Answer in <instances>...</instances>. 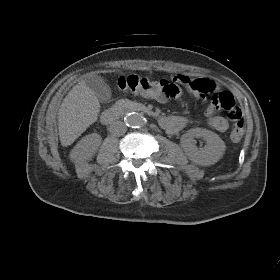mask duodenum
<instances>
[{
	"label": "duodenum",
	"instance_id": "obj_1",
	"mask_svg": "<svg viewBox=\"0 0 280 280\" xmlns=\"http://www.w3.org/2000/svg\"><path fill=\"white\" fill-rule=\"evenodd\" d=\"M129 110H143V107L140 105H131V106H116L111 107L105 110L101 116V122L105 125L112 124L116 121L124 112ZM160 126L163 125L166 121L165 117H158Z\"/></svg>",
	"mask_w": 280,
	"mask_h": 280
}]
</instances>
